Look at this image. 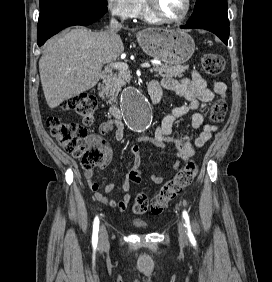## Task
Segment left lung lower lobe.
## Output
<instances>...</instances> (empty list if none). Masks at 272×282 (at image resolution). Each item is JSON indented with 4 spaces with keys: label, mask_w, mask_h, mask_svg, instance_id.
Returning a JSON list of instances; mask_svg holds the SVG:
<instances>
[{
    "label": "left lung lower lobe",
    "mask_w": 272,
    "mask_h": 282,
    "mask_svg": "<svg viewBox=\"0 0 272 282\" xmlns=\"http://www.w3.org/2000/svg\"><path fill=\"white\" fill-rule=\"evenodd\" d=\"M181 28L211 31L227 44L230 32L227 0H197L191 18Z\"/></svg>",
    "instance_id": "0a47b994"
}]
</instances>
